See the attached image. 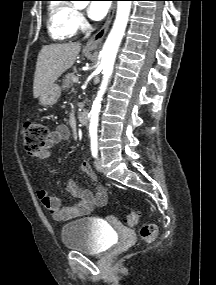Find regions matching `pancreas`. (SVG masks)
Masks as SVG:
<instances>
[{"instance_id": "1", "label": "pancreas", "mask_w": 216, "mask_h": 285, "mask_svg": "<svg viewBox=\"0 0 216 285\" xmlns=\"http://www.w3.org/2000/svg\"><path fill=\"white\" fill-rule=\"evenodd\" d=\"M77 77L75 72L67 73L63 79L62 87L69 89L73 85V78Z\"/></svg>"}]
</instances>
